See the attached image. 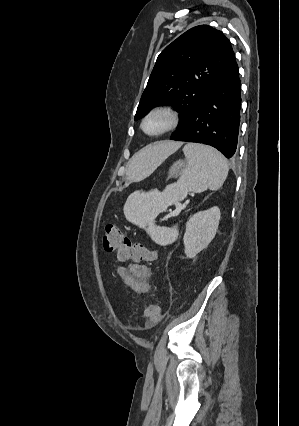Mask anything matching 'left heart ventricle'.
I'll use <instances>...</instances> for the list:
<instances>
[{
    "label": "left heart ventricle",
    "instance_id": "1",
    "mask_svg": "<svg viewBox=\"0 0 299 426\" xmlns=\"http://www.w3.org/2000/svg\"><path fill=\"white\" fill-rule=\"evenodd\" d=\"M168 123V119L164 115H155L151 117L145 124V130L149 133H156L162 130Z\"/></svg>",
    "mask_w": 299,
    "mask_h": 426
}]
</instances>
